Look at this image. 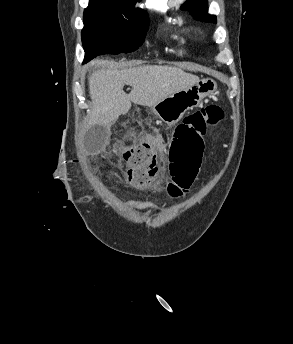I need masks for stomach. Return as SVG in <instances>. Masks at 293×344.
Here are the masks:
<instances>
[{
    "instance_id": "stomach-1",
    "label": "stomach",
    "mask_w": 293,
    "mask_h": 344,
    "mask_svg": "<svg viewBox=\"0 0 293 344\" xmlns=\"http://www.w3.org/2000/svg\"><path fill=\"white\" fill-rule=\"evenodd\" d=\"M216 89L217 83L213 79H202L197 84L162 99L153 105L152 110L163 122L174 125L186 111L197 107L203 98Z\"/></svg>"
}]
</instances>
